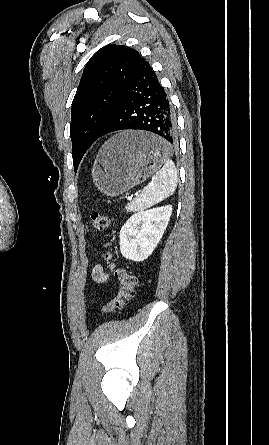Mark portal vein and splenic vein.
Returning <instances> with one entry per match:
<instances>
[{
    "mask_svg": "<svg viewBox=\"0 0 269 445\" xmlns=\"http://www.w3.org/2000/svg\"><path fill=\"white\" fill-rule=\"evenodd\" d=\"M136 196L138 195V193L135 194ZM133 196H129L128 200H132Z\"/></svg>",
    "mask_w": 269,
    "mask_h": 445,
    "instance_id": "obj_1",
    "label": "portal vein and splenic vein"
}]
</instances>
